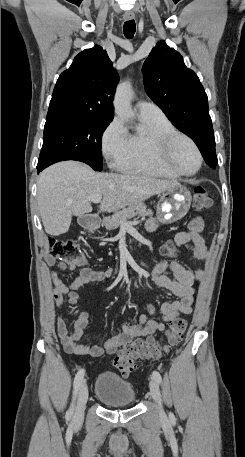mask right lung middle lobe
Listing matches in <instances>:
<instances>
[{
  "mask_svg": "<svg viewBox=\"0 0 245 457\" xmlns=\"http://www.w3.org/2000/svg\"><path fill=\"white\" fill-rule=\"evenodd\" d=\"M112 119L83 112L48 113L37 170L58 161L78 160L101 171V138Z\"/></svg>",
  "mask_w": 245,
  "mask_h": 457,
  "instance_id": "right-lung-middle-lobe-1",
  "label": "right lung middle lobe"
}]
</instances>
